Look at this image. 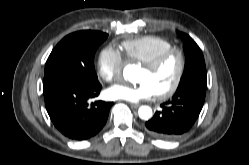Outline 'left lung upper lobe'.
<instances>
[{
  "label": "left lung upper lobe",
  "mask_w": 249,
  "mask_h": 165,
  "mask_svg": "<svg viewBox=\"0 0 249 165\" xmlns=\"http://www.w3.org/2000/svg\"><path fill=\"white\" fill-rule=\"evenodd\" d=\"M184 40L185 68L176 92L191 86L207 87V73L202 51L194 40L185 33L177 31Z\"/></svg>",
  "instance_id": "1"
}]
</instances>
